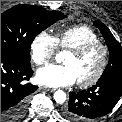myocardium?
<instances>
[{
    "label": "myocardium",
    "mask_w": 122,
    "mask_h": 122,
    "mask_svg": "<svg viewBox=\"0 0 122 122\" xmlns=\"http://www.w3.org/2000/svg\"><path fill=\"white\" fill-rule=\"evenodd\" d=\"M95 48H99L102 51V59H101V63L99 68L97 69V71L94 73L93 76H91L90 78L86 79V80H78L77 84L80 87H90L94 84H96L101 77L103 76L104 72L106 71V68L108 66V62H109V48L106 44H104L101 41H94V42H89L86 43L84 45H81L77 48H73L70 50V53H72L74 56L76 57H82L85 54H87L89 51L95 49Z\"/></svg>",
    "instance_id": "1"
}]
</instances>
